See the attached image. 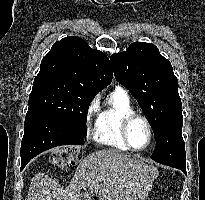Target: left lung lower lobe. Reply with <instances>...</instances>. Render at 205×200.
<instances>
[{
	"label": "left lung lower lobe",
	"instance_id": "left-lung-lower-lobe-1",
	"mask_svg": "<svg viewBox=\"0 0 205 200\" xmlns=\"http://www.w3.org/2000/svg\"><path fill=\"white\" fill-rule=\"evenodd\" d=\"M182 112L170 117L156 140L152 159L164 165L181 169L186 174L185 143L182 138Z\"/></svg>",
	"mask_w": 205,
	"mask_h": 200
}]
</instances>
